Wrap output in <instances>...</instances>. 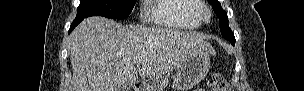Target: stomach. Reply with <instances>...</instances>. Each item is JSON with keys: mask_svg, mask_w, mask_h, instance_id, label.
I'll return each instance as SVG.
<instances>
[{"mask_svg": "<svg viewBox=\"0 0 304 91\" xmlns=\"http://www.w3.org/2000/svg\"><path fill=\"white\" fill-rule=\"evenodd\" d=\"M209 69V52L205 50L193 51L178 66L176 74L173 77L172 87L178 91H188L207 75Z\"/></svg>", "mask_w": 304, "mask_h": 91, "instance_id": "0dacf381", "label": "stomach"}]
</instances>
